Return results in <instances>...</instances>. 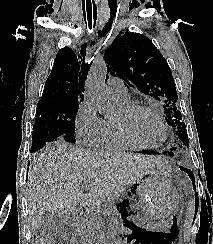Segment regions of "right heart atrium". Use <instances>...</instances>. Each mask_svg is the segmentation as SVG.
I'll use <instances>...</instances> for the list:
<instances>
[{"label":"right heart atrium","mask_w":213,"mask_h":244,"mask_svg":"<svg viewBox=\"0 0 213 244\" xmlns=\"http://www.w3.org/2000/svg\"><path fill=\"white\" fill-rule=\"evenodd\" d=\"M104 126L105 120L99 116L90 101L79 105L75 117V135L81 142L92 146L99 145Z\"/></svg>","instance_id":"d8ad5b80"}]
</instances>
